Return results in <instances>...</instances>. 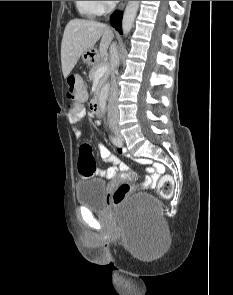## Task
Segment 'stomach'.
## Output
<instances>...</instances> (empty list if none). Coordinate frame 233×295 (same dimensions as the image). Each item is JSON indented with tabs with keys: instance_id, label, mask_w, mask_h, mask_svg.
<instances>
[{
	"instance_id": "stomach-1",
	"label": "stomach",
	"mask_w": 233,
	"mask_h": 295,
	"mask_svg": "<svg viewBox=\"0 0 233 295\" xmlns=\"http://www.w3.org/2000/svg\"><path fill=\"white\" fill-rule=\"evenodd\" d=\"M90 53H92L91 50H87L86 52H84L82 54V59L87 64H90L92 62V59H93V57H92V55H90Z\"/></svg>"
}]
</instances>
